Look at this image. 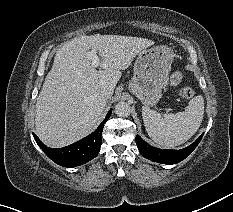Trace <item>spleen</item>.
I'll return each mask as SVG.
<instances>
[{
  "label": "spleen",
  "instance_id": "obj_1",
  "mask_svg": "<svg viewBox=\"0 0 233 212\" xmlns=\"http://www.w3.org/2000/svg\"><path fill=\"white\" fill-rule=\"evenodd\" d=\"M204 99L201 95L190 100L185 111L161 115L148 106L142 107V117L149 137L164 147H175L188 141L203 120Z\"/></svg>",
  "mask_w": 233,
  "mask_h": 212
}]
</instances>
